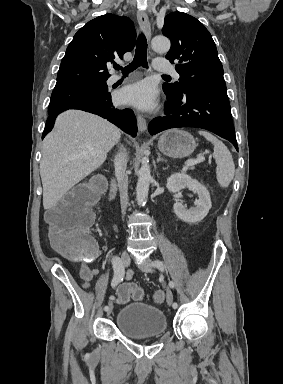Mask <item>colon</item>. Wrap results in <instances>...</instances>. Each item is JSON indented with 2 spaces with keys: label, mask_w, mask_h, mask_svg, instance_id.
Here are the masks:
<instances>
[{
  "label": "colon",
  "mask_w": 283,
  "mask_h": 384,
  "mask_svg": "<svg viewBox=\"0 0 283 384\" xmlns=\"http://www.w3.org/2000/svg\"><path fill=\"white\" fill-rule=\"evenodd\" d=\"M99 181L83 184L67 193L47 214L49 236L53 246L65 257L75 261H90L96 257L97 247L89 234L92 208L97 199ZM130 298L142 300L144 292L135 284H123L111 301L125 303ZM156 302L165 300V293H154Z\"/></svg>",
  "instance_id": "5ec220e1"
}]
</instances>
